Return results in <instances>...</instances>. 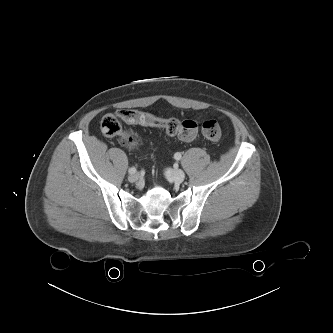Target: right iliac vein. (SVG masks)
I'll return each mask as SVG.
<instances>
[{"mask_svg":"<svg viewBox=\"0 0 333 333\" xmlns=\"http://www.w3.org/2000/svg\"><path fill=\"white\" fill-rule=\"evenodd\" d=\"M139 179V174L138 173H133L128 176V180L130 182H136Z\"/></svg>","mask_w":333,"mask_h":333,"instance_id":"obj_1","label":"right iliac vein"}]
</instances>
